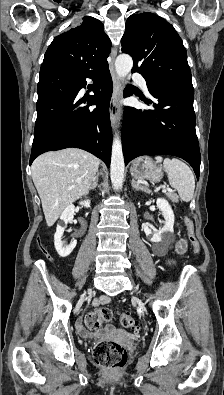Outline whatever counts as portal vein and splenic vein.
I'll return each mask as SVG.
<instances>
[{
    "label": "portal vein and splenic vein",
    "mask_w": 224,
    "mask_h": 395,
    "mask_svg": "<svg viewBox=\"0 0 224 395\" xmlns=\"http://www.w3.org/2000/svg\"><path fill=\"white\" fill-rule=\"evenodd\" d=\"M166 190H168V191H171V190H170V188H167V189H166V188H164V189H163V191H166Z\"/></svg>",
    "instance_id": "18ae733b"
}]
</instances>
